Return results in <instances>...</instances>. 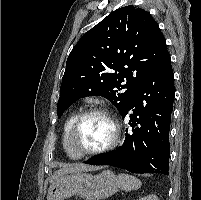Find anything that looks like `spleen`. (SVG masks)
Wrapping results in <instances>:
<instances>
[{"instance_id":"3e777b00","label":"spleen","mask_w":201,"mask_h":200,"mask_svg":"<svg viewBox=\"0 0 201 200\" xmlns=\"http://www.w3.org/2000/svg\"><path fill=\"white\" fill-rule=\"evenodd\" d=\"M118 186L124 191L137 190L141 187V181L134 176L121 173L117 176Z\"/></svg>"}]
</instances>
